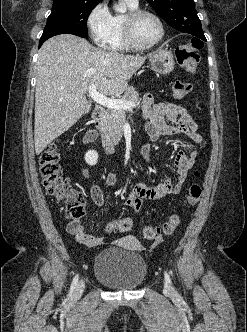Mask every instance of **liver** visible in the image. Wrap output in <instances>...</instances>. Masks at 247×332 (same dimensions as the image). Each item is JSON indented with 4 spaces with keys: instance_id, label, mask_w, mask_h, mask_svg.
<instances>
[{
    "instance_id": "obj_1",
    "label": "liver",
    "mask_w": 247,
    "mask_h": 332,
    "mask_svg": "<svg viewBox=\"0 0 247 332\" xmlns=\"http://www.w3.org/2000/svg\"><path fill=\"white\" fill-rule=\"evenodd\" d=\"M146 57L95 49L78 36L47 40L38 53L35 90V152L91 110L85 94L91 85L105 96L119 97Z\"/></svg>"
}]
</instances>
